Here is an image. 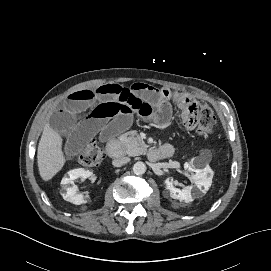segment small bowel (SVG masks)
I'll return each instance as SVG.
<instances>
[{
	"label": "small bowel",
	"mask_w": 271,
	"mask_h": 271,
	"mask_svg": "<svg viewBox=\"0 0 271 271\" xmlns=\"http://www.w3.org/2000/svg\"><path fill=\"white\" fill-rule=\"evenodd\" d=\"M182 94L135 83L130 87L106 84L71 93L51 118L50 131L62 136L67 155L76 154L95 134L105 139L128 129L138 115L158 125L171 116L170 100L181 107ZM87 113L84 118L80 115ZM165 156L173 153L170 144L161 146Z\"/></svg>",
	"instance_id": "obj_1"
}]
</instances>
